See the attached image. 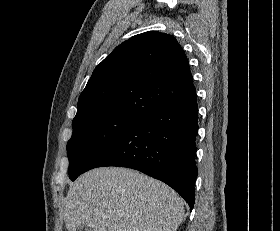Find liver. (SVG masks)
Returning a JSON list of instances; mask_svg holds the SVG:
<instances>
[{
	"label": "liver",
	"instance_id": "6515ba94",
	"mask_svg": "<svg viewBox=\"0 0 280 231\" xmlns=\"http://www.w3.org/2000/svg\"><path fill=\"white\" fill-rule=\"evenodd\" d=\"M69 231H176L184 201L172 187L128 167H96L70 183L61 201Z\"/></svg>",
	"mask_w": 280,
	"mask_h": 231
}]
</instances>
